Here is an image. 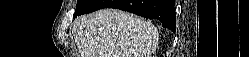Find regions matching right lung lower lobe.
<instances>
[{"instance_id":"1","label":"right lung lower lobe","mask_w":249,"mask_h":57,"mask_svg":"<svg viewBox=\"0 0 249 57\" xmlns=\"http://www.w3.org/2000/svg\"><path fill=\"white\" fill-rule=\"evenodd\" d=\"M174 2V0H91L86 8L76 10L74 17L101 8H115L145 18L160 20L164 28L175 31L176 13Z\"/></svg>"}]
</instances>
